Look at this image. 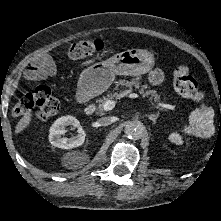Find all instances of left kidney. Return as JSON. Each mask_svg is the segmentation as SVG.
<instances>
[{
	"label": "left kidney",
	"mask_w": 221,
	"mask_h": 221,
	"mask_svg": "<svg viewBox=\"0 0 221 221\" xmlns=\"http://www.w3.org/2000/svg\"><path fill=\"white\" fill-rule=\"evenodd\" d=\"M169 140L175 144L181 145L183 143L182 138L177 133H171L169 135Z\"/></svg>",
	"instance_id": "left-kidney-1"
}]
</instances>
